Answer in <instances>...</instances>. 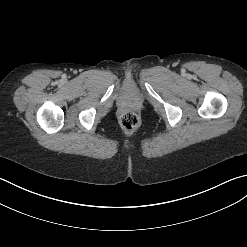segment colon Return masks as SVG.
Here are the masks:
<instances>
[{"label":"colon","instance_id":"obj_1","mask_svg":"<svg viewBox=\"0 0 247 247\" xmlns=\"http://www.w3.org/2000/svg\"><path fill=\"white\" fill-rule=\"evenodd\" d=\"M120 124L127 131L134 130L139 125V117L135 112L127 111L121 116Z\"/></svg>","mask_w":247,"mask_h":247}]
</instances>
